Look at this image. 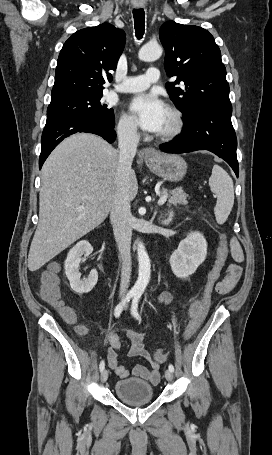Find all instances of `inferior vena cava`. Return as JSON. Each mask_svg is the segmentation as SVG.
Here are the masks:
<instances>
[{
  "label": "inferior vena cava",
  "mask_w": 272,
  "mask_h": 455,
  "mask_svg": "<svg viewBox=\"0 0 272 455\" xmlns=\"http://www.w3.org/2000/svg\"><path fill=\"white\" fill-rule=\"evenodd\" d=\"M119 164L115 178L116 192L110 210L114 237L122 258L120 295L128 290L131 278V210L127 194V179L131 171L132 160L137 151L139 138L136 126L129 125L119 129Z\"/></svg>",
  "instance_id": "obj_1"
}]
</instances>
